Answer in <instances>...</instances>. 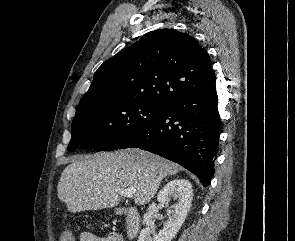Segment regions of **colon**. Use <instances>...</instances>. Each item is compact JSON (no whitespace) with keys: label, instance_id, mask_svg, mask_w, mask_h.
<instances>
[{"label":"colon","instance_id":"colon-1","mask_svg":"<svg viewBox=\"0 0 295 241\" xmlns=\"http://www.w3.org/2000/svg\"><path fill=\"white\" fill-rule=\"evenodd\" d=\"M60 241H74V236L72 231L70 230H65L61 234V239Z\"/></svg>","mask_w":295,"mask_h":241}]
</instances>
